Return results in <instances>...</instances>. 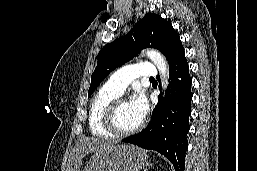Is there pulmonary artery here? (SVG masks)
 <instances>
[{"instance_id": "obj_1", "label": "pulmonary artery", "mask_w": 257, "mask_h": 171, "mask_svg": "<svg viewBox=\"0 0 257 171\" xmlns=\"http://www.w3.org/2000/svg\"><path fill=\"white\" fill-rule=\"evenodd\" d=\"M157 76V69L151 62H138L126 65L115 71L107 80L106 85L123 94L127 86L138 77L154 78Z\"/></svg>"}]
</instances>
